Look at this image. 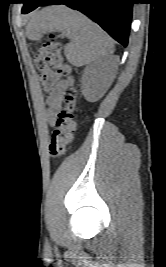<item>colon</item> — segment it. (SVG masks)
I'll return each mask as SVG.
<instances>
[{
  "instance_id": "5ec220e1",
  "label": "colon",
  "mask_w": 166,
  "mask_h": 267,
  "mask_svg": "<svg viewBox=\"0 0 166 267\" xmlns=\"http://www.w3.org/2000/svg\"><path fill=\"white\" fill-rule=\"evenodd\" d=\"M34 63L41 73V82L45 90L49 92L53 90L59 76H67L71 73V68L63 59L61 45L55 35H50L43 41L35 54ZM50 67L56 71H51ZM76 106V91L71 89L65 95V106L59 111L52 130L49 153L53 158L63 155L73 139L76 129Z\"/></svg>"
}]
</instances>
